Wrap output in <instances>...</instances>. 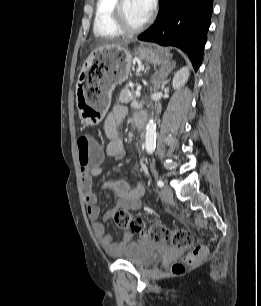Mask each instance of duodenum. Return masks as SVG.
Here are the masks:
<instances>
[{"mask_svg":"<svg viewBox=\"0 0 261 306\" xmlns=\"http://www.w3.org/2000/svg\"><path fill=\"white\" fill-rule=\"evenodd\" d=\"M147 115L146 113H138L134 117V124L138 129H142L146 123Z\"/></svg>","mask_w":261,"mask_h":306,"instance_id":"duodenum-1","label":"duodenum"}]
</instances>
